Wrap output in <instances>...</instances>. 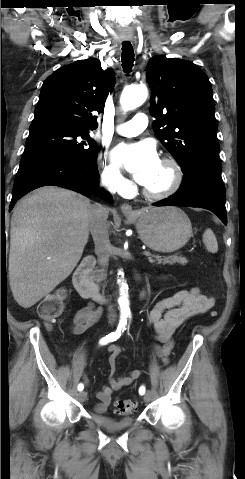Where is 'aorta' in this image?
<instances>
[{
    "label": "aorta",
    "mask_w": 245,
    "mask_h": 479,
    "mask_svg": "<svg viewBox=\"0 0 245 479\" xmlns=\"http://www.w3.org/2000/svg\"><path fill=\"white\" fill-rule=\"evenodd\" d=\"M148 96L147 88L143 85L139 86H129L126 87L121 95L120 104L124 111L133 110L140 105H142ZM136 160H128L125 164V168L129 172H134L137 170ZM120 275H123L122 272H119ZM120 285V296L118 298V304L120 311L123 315L130 314L129 301L127 296L128 286L123 280H118Z\"/></svg>",
    "instance_id": "1"
}]
</instances>
